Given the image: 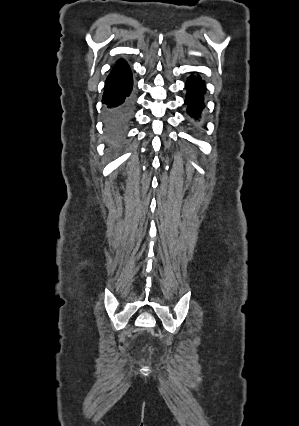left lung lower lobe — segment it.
I'll list each match as a JSON object with an SVG mask.
<instances>
[{
    "label": "left lung lower lobe",
    "mask_w": 299,
    "mask_h": 426,
    "mask_svg": "<svg viewBox=\"0 0 299 426\" xmlns=\"http://www.w3.org/2000/svg\"><path fill=\"white\" fill-rule=\"evenodd\" d=\"M187 97L185 104L187 105V113L196 120L200 117V113L205 107L204 93L206 86L200 76L191 75L186 82Z\"/></svg>",
    "instance_id": "left-lung-lower-lobe-1"
}]
</instances>
